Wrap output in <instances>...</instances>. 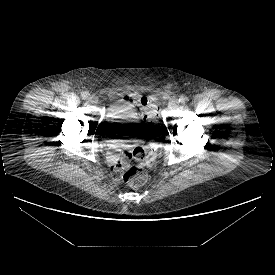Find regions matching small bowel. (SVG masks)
I'll return each instance as SVG.
<instances>
[{"instance_id": "1", "label": "small bowel", "mask_w": 275, "mask_h": 275, "mask_svg": "<svg viewBox=\"0 0 275 275\" xmlns=\"http://www.w3.org/2000/svg\"><path fill=\"white\" fill-rule=\"evenodd\" d=\"M120 100L124 101L123 106H126L130 109L136 107V102H137L136 96L135 97L126 96L124 98H121ZM111 148L118 151V150H120L121 145L118 143H114L111 145ZM108 158H109V162L111 164V168H112L113 172L120 173L127 168L126 161H124L123 165L121 167H119V161L121 160V157H119L117 154L110 153Z\"/></svg>"}]
</instances>
